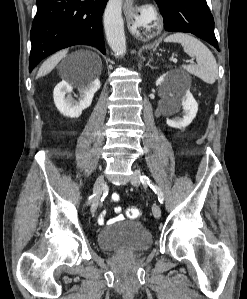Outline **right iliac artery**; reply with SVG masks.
Returning a JSON list of instances; mask_svg holds the SVG:
<instances>
[{"instance_id": "obj_1", "label": "right iliac artery", "mask_w": 247, "mask_h": 299, "mask_svg": "<svg viewBox=\"0 0 247 299\" xmlns=\"http://www.w3.org/2000/svg\"><path fill=\"white\" fill-rule=\"evenodd\" d=\"M92 198H93V196H90V197H89V202L92 200Z\"/></svg>"}]
</instances>
